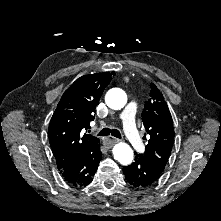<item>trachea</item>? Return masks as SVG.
I'll return each mask as SVG.
<instances>
[{
    "mask_svg": "<svg viewBox=\"0 0 221 221\" xmlns=\"http://www.w3.org/2000/svg\"><path fill=\"white\" fill-rule=\"evenodd\" d=\"M112 135V136H114V137H116V138H121V134H120V132L118 131V130H116V129H110V128H104V129H102L100 132H99V134H98V136H107V135Z\"/></svg>",
    "mask_w": 221,
    "mask_h": 221,
    "instance_id": "1",
    "label": "trachea"
}]
</instances>
